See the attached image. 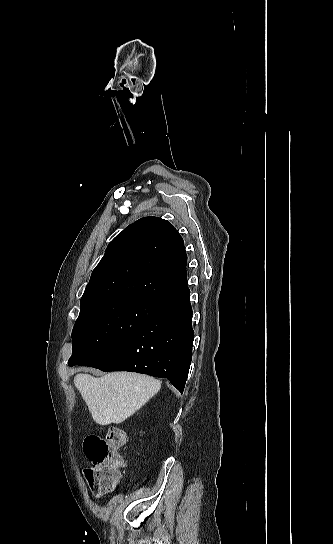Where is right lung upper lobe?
I'll return each mask as SVG.
<instances>
[{
  "mask_svg": "<svg viewBox=\"0 0 333 544\" xmlns=\"http://www.w3.org/2000/svg\"><path fill=\"white\" fill-rule=\"evenodd\" d=\"M186 262L183 239L168 221L141 218L109 243L81 302L126 295L170 302L190 293Z\"/></svg>",
  "mask_w": 333,
  "mask_h": 544,
  "instance_id": "right-lung-upper-lobe-1",
  "label": "right lung upper lobe"
}]
</instances>
